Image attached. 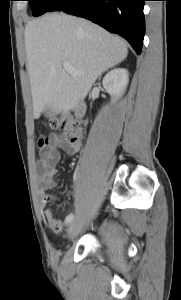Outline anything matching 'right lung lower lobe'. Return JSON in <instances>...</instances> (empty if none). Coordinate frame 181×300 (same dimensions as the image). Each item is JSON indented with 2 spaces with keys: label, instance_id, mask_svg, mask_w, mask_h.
Listing matches in <instances>:
<instances>
[{
  "label": "right lung lower lobe",
  "instance_id": "right-lung-lower-lobe-1",
  "mask_svg": "<svg viewBox=\"0 0 181 300\" xmlns=\"http://www.w3.org/2000/svg\"><path fill=\"white\" fill-rule=\"evenodd\" d=\"M146 0H61L53 11L91 20L124 37L139 55L145 33Z\"/></svg>",
  "mask_w": 181,
  "mask_h": 300
}]
</instances>
